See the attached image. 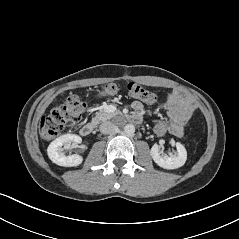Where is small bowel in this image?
<instances>
[{
    "label": "small bowel",
    "mask_w": 239,
    "mask_h": 239,
    "mask_svg": "<svg viewBox=\"0 0 239 239\" xmlns=\"http://www.w3.org/2000/svg\"><path fill=\"white\" fill-rule=\"evenodd\" d=\"M133 117L141 119L143 105L139 101L132 103ZM167 114L170 118V130L174 136L181 137L184 134V126L193 113V104L188 96L179 91L172 92L166 100Z\"/></svg>",
    "instance_id": "small-bowel-1"
}]
</instances>
